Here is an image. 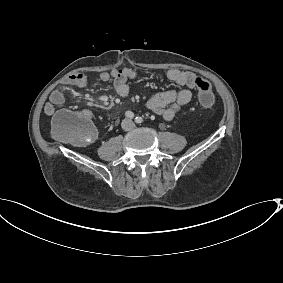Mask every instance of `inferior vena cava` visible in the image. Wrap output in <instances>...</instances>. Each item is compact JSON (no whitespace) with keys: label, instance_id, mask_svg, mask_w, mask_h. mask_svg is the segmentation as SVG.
<instances>
[{"label":"inferior vena cava","instance_id":"inferior-vena-cava-1","mask_svg":"<svg viewBox=\"0 0 283 283\" xmlns=\"http://www.w3.org/2000/svg\"><path fill=\"white\" fill-rule=\"evenodd\" d=\"M121 127L123 130L129 131L134 128V122L129 118H125L121 122Z\"/></svg>","mask_w":283,"mask_h":283}]
</instances>
